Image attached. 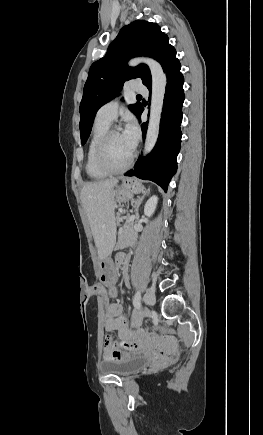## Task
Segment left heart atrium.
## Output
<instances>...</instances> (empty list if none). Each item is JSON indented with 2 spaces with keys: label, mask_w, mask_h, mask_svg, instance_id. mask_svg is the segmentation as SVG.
Returning a JSON list of instances; mask_svg holds the SVG:
<instances>
[{
  "label": "left heart atrium",
  "mask_w": 263,
  "mask_h": 435,
  "mask_svg": "<svg viewBox=\"0 0 263 435\" xmlns=\"http://www.w3.org/2000/svg\"><path fill=\"white\" fill-rule=\"evenodd\" d=\"M122 136L128 146L134 150L140 137V132L136 121L132 118L128 119L125 128L122 132Z\"/></svg>",
  "instance_id": "obj_1"
}]
</instances>
